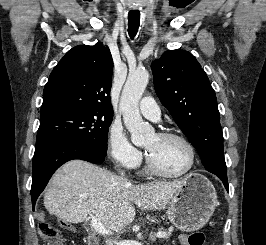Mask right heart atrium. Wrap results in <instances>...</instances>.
I'll return each mask as SVG.
<instances>
[{"label":"right heart atrium","instance_id":"1","mask_svg":"<svg viewBox=\"0 0 266 245\" xmlns=\"http://www.w3.org/2000/svg\"><path fill=\"white\" fill-rule=\"evenodd\" d=\"M107 151L115 162L130 169L138 167L142 160L141 152L129 141L123 130L117 125L109 127Z\"/></svg>","mask_w":266,"mask_h":245}]
</instances>
